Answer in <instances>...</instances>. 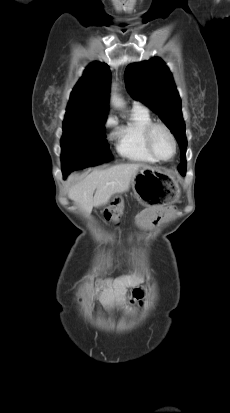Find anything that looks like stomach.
I'll use <instances>...</instances> for the list:
<instances>
[{
    "instance_id": "0dacf381",
    "label": "stomach",
    "mask_w": 230,
    "mask_h": 413,
    "mask_svg": "<svg viewBox=\"0 0 230 413\" xmlns=\"http://www.w3.org/2000/svg\"><path fill=\"white\" fill-rule=\"evenodd\" d=\"M132 189L137 201L151 205H170L179 196L178 181L167 170L160 167L142 166L132 177Z\"/></svg>"
}]
</instances>
